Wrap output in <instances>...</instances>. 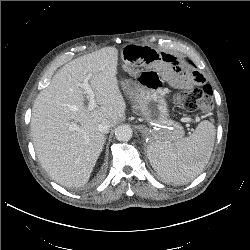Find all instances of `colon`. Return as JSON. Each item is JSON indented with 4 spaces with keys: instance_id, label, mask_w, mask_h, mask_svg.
<instances>
[{
    "instance_id": "colon-1",
    "label": "colon",
    "mask_w": 250,
    "mask_h": 250,
    "mask_svg": "<svg viewBox=\"0 0 250 250\" xmlns=\"http://www.w3.org/2000/svg\"><path fill=\"white\" fill-rule=\"evenodd\" d=\"M175 102L188 111L199 110L203 114L213 108V93L209 85L195 87L188 91L178 92L174 96Z\"/></svg>"
}]
</instances>
